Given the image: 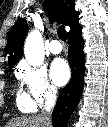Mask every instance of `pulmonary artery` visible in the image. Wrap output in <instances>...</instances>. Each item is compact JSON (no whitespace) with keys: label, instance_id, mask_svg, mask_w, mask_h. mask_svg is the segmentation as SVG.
Masks as SVG:
<instances>
[{"label":"pulmonary artery","instance_id":"obj_1","mask_svg":"<svg viewBox=\"0 0 108 127\" xmlns=\"http://www.w3.org/2000/svg\"><path fill=\"white\" fill-rule=\"evenodd\" d=\"M49 50L53 54H59L62 51V45L58 40H52L49 44Z\"/></svg>","mask_w":108,"mask_h":127}]
</instances>
